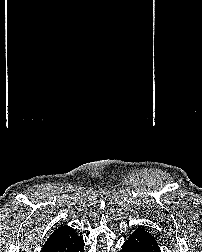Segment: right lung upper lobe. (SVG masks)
<instances>
[{
    "mask_svg": "<svg viewBox=\"0 0 202 252\" xmlns=\"http://www.w3.org/2000/svg\"><path fill=\"white\" fill-rule=\"evenodd\" d=\"M82 243L83 239L74 229L60 226L50 235L41 252H75Z\"/></svg>",
    "mask_w": 202,
    "mask_h": 252,
    "instance_id": "right-lung-upper-lobe-1",
    "label": "right lung upper lobe"
}]
</instances>
